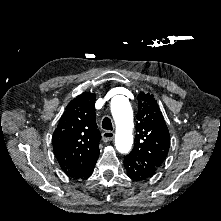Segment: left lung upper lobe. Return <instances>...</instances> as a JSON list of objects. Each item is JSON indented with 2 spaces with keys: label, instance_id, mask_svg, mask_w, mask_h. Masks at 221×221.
I'll list each match as a JSON object with an SVG mask.
<instances>
[{
  "label": "left lung upper lobe",
  "instance_id": "1",
  "mask_svg": "<svg viewBox=\"0 0 221 221\" xmlns=\"http://www.w3.org/2000/svg\"><path fill=\"white\" fill-rule=\"evenodd\" d=\"M136 118L135 144L128 156L155 174L168 154L170 135L152 94L141 92L138 95Z\"/></svg>",
  "mask_w": 221,
  "mask_h": 221
}]
</instances>
